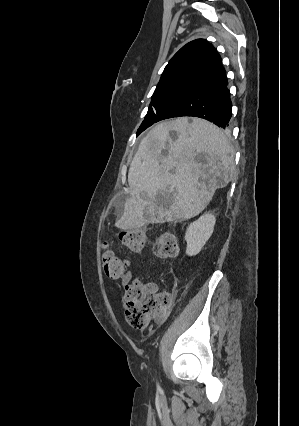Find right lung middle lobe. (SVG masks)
Wrapping results in <instances>:
<instances>
[{
	"label": "right lung middle lobe",
	"instance_id": "dd1d6c3e",
	"mask_svg": "<svg viewBox=\"0 0 299 426\" xmlns=\"http://www.w3.org/2000/svg\"><path fill=\"white\" fill-rule=\"evenodd\" d=\"M196 86L191 84L172 83L159 85L156 87L149 110L144 121L137 131V136L146 128L158 122L162 113L181 97L195 89Z\"/></svg>",
	"mask_w": 299,
	"mask_h": 426
}]
</instances>
